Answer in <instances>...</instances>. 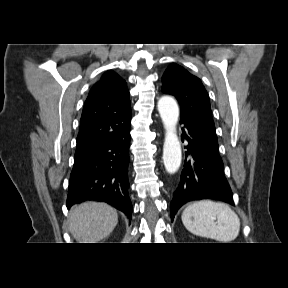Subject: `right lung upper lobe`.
<instances>
[{
  "label": "right lung upper lobe",
  "mask_w": 288,
  "mask_h": 288,
  "mask_svg": "<svg viewBox=\"0 0 288 288\" xmlns=\"http://www.w3.org/2000/svg\"><path fill=\"white\" fill-rule=\"evenodd\" d=\"M125 80L109 70L85 101L75 154L95 147L130 126L131 104Z\"/></svg>",
  "instance_id": "right-lung-upper-lobe-1"
}]
</instances>
